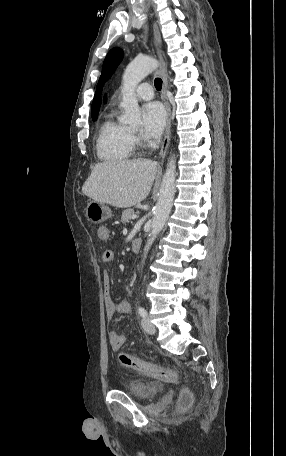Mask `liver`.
Segmentation results:
<instances>
[{"label": "liver", "instance_id": "liver-1", "mask_svg": "<svg viewBox=\"0 0 286 456\" xmlns=\"http://www.w3.org/2000/svg\"><path fill=\"white\" fill-rule=\"evenodd\" d=\"M157 163L149 159L102 162L95 165L82 192L96 202L128 208L149 194Z\"/></svg>", "mask_w": 286, "mask_h": 456}]
</instances>
